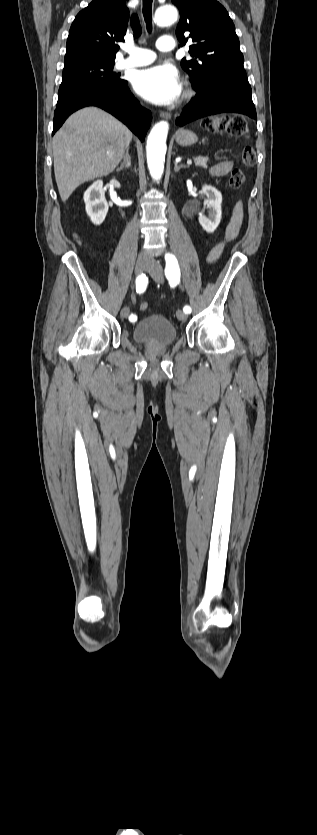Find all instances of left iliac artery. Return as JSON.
Listing matches in <instances>:
<instances>
[{"label":"left iliac artery","instance_id":"44dca946","mask_svg":"<svg viewBox=\"0 0 317 835\" xmlns=\"http://www.w3.org/2000/svg\"><path fill=\"white\" fill-rule=\"evenodd\" d=\"M166 266H165V276L168 279L171 286H175L180 282V268L176 257L171 254L167 253L165 256ZM183 311L187 314L191 312V307L186 305L183 307Z\"/></svg>","mask_w":317,"mask_h":835}]
</instances>
